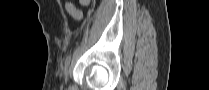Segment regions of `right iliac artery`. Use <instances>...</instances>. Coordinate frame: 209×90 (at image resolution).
Instances as JSON below:
<instances>
[{
    "label": "right iliac artery",
    "mask_w": 209,
    "mask_h": 90,
    "mask_svg": "<svg viewBox=\"0 0 209 90\" xmlns=\"http://www.w3.org/2000/svg\"><path fill=\"white\" fill-rule=\"evenodd\" d=\"M70 60H71V56H68V57L66 58L65 63L68 64V63L70 62Z\"/></svg>",
    "instance_id": "82829eb1"
}]
</instances>
